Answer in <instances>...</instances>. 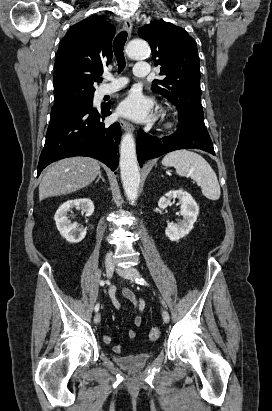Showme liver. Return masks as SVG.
Masks as SVG:
<instances>
[{
    "instance_id": "6515ba94",
    "label": "liver",
    "mask_w": 272,
    "mask_h": 411,
    "mask_svg": "<svg viewBox=\"0 0 272 411\" xmlns=\"http://www.w3.org/2000/svg\"><path fill=\"white\" fill-rule=\"evenodd\" d=\"M100 172V164L89 157H71L51 164L39 185V200L75 192L89 185Z\"/></svg>"
}]
</instances>
